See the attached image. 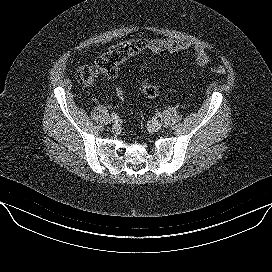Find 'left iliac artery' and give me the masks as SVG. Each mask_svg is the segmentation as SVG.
Here are the masks:
<instances>
[{
    "instance_id": "1",
    "label": "left iliac artery",
    "mask_w": 272,
    "mask_h": 272,
    "mask_svg": "<svg viewBox=\"0 0 272 272\" xmlns=\"http://www.w3.org/2000/svg\"><path fill=\"white\" fill-rule=\"evenodd\" d=\"M157 116L162 118V114L160 112L157 113Z\"/></svg>"
}]
</instances>
